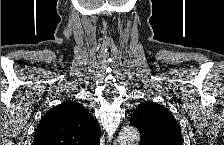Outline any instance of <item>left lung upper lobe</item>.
<instances>
[{
	"instance_id": "5c2ea615",
	"label": "left lung upper lobe",
	"mask_w": 224,
	"mask_h": 145,
	"mask_svg": "<svg viewBox=\"0 0 224 145\" xmlns=\"http://www.w3.org/2000/svg\"><path fill=\"white\" fill-rule=\"evenodd\" d=\"M140 132V145H182L176 119L162 105L141 103L130 118Z\"/></svg>"
}]
</instances>
